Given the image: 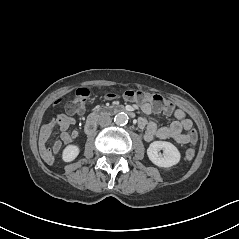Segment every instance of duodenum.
Returning <instances> with one entry per match:
<instances>
[{
    "instance_id": "obj_1",
    "label": "duodenum",
    "mask_w": 239,
    "mask_h": 239,
    "mask_svg": "<svg viewBox=\"0 0 239 239\" xmlns=\"http://www.w3.org/2000/svg\"><path fill=\"white\" fill-rule=\"evenodd\" d=\"M118 113H126L130 117L134 116L133 112H131L130 110H128L126 107H124L122 105L99 107V108H96L94 111H92L89 114V116L86 120L85 126H84V132L86 134H91L95 130L98 121L102 117L108 116V115H114V114H118Z\"/></svg>"
}]
</instances>
